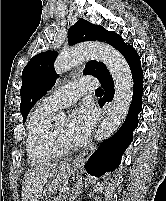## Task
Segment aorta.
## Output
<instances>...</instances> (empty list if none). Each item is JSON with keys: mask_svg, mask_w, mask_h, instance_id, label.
<instances>
[{"mask_svg": "<svg viewBox=\"0 0 166 201\" xmlns=\"http://www.w3.org/2000/svg\"><path fill=\"white\" fill-rule=\"evenodd\" d=\"M91 58L99 59L106 65L115 85L112 104L96 132L95 139L100 142L109 138L126 117L133 97V80L129 65L123 55L113 47L101 43L64 49L57 57L54 68L57 74L62 75ZM60 117H64V114Z\"/></svg>", "mask_w": 166, "mask_h": 201, "instance_id": "762f6f07", "label": "aorta"}]
</instances>
